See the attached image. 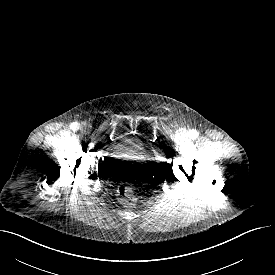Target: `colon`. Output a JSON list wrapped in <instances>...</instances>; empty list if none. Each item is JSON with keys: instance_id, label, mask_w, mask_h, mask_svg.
<instances>
[{"instance_id": "1", "label": "colon", "mask_w": 275, "mask_h": 275, "mask_svg": "<svg viewBox=\"0 0 275 275\" xmlns=\"http://www.w3.org/2000/svg\"><path fill=\"white\" fill-rule=\"evenodd\" d=\"M119 200L124 205H133L136 201L135 186L130 182H122L117 190Z\"/></svg>"}]
</instances>
